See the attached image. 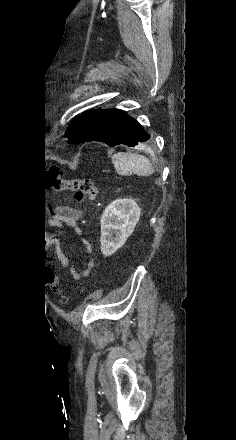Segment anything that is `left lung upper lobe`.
<instances>
[{"instance_id": "5c2ea615", "label": "left lung upper lobe", "mask_w": 236, "mask_h": 440, "mask_svg": "<svg viewBox=\"0 0 236 440\" xmlns=\"http://www.w3.org/2000/svg\"><path fill=\"white\" fill-rule=\"evenodd\" d=\"M98 110L95 111H89L83 113L81 116H78L76 119L73 120V122L70 124L68 129L66 130L65 137H67L69 140L74 137V135L79 131L82 124L88 120L94 113H96Z\"/></svg>"}]
</instances>
